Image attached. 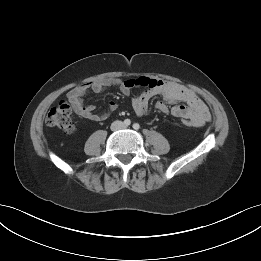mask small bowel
<instances>
[{
    "mask_svg": "<svg viewBox=\"0 0 261 261\" xmlns=\"http://www.w3.org/2000/svg\"><path fill=\"white\" fill-rule=\"evenodd\" d=\"M110 87L118 88L124 95H129L133 88H145L139 96L132 100L133 110L138 116H143L148 112L149 103L153 97L160 96L161 100L156 103L155 107L162 113H170L178 118L189 119L192 126L196 127L203 126L210 120L206 104L194 91L175 82L146 76L91 81L70 90L67 98L74 111L81 117L92 121H103L117 109V103L110 101L107 110L97 113L94 105L84 104L83 98L90 92L100 94Z\"/></svg>",
    "mask_w": 261,
    "mask_h": 261,
    "instance_id": "1",
    "label": "small bowel"
}]
</instances>
